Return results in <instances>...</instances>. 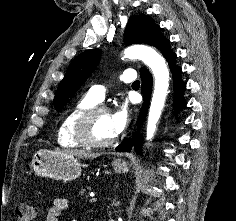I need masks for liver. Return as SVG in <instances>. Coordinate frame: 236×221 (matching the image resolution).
Segmentation results:
<instances>
[{"mask_svg": "<svg viewBox=\"0 0 236 221\" xmlns=\"http://www.w3.org/2000/svg\"><path fill=\"white\" fill-rule=\"evenodd\" d=\"M59 153H64V154H69L73 155L79 158H97L99 154L97 153H92V152H86L84 150H62L58 151Z\"/></svg>", "mask_w": 236, "mask_h": 221, "instance_id": "1", "label": "liver"}]
</instances>
